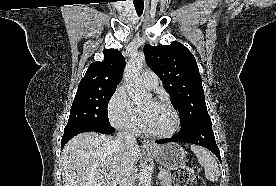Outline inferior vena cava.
<instances>
[{"label":"inferior vena cava","instance_id":"602c4592","mask_svg":"<svg viewBox=\"0 0 276 186\" xmlns=\"http://www.w3.org/2000/svg\"><path fill=\"white\" fill-rule=\"evenodd\" d=\"M116 145L124 153L136 146V138L134 134L127 129L119 131L115 140ZM137 168L136 165L127 160L123 163L122 169L118 175L119 186H136Z\"/></svg>","mask_w":276,"mask_h":186}]
</instances>
